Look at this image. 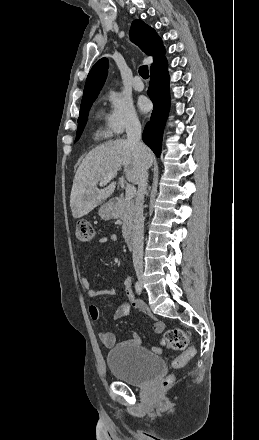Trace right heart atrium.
Here are the masks:
<instances>
[{"label": "right heart atrium", "instance_id": "obj_1", "mask_svg": "<svg viewBox=\"0 0 259 440\" xmlns=\"http://www.w3.org/2000/svg\"><path fill=\"white\" fill-rule=\"evenodd\" d=\"M110 110L105 121L108 131L113 135H121L140 125L138 114L132 102L116 92L106 96Z\"/></svg>", "mask_w": 259, "mask_h": 440}]
</instances>
